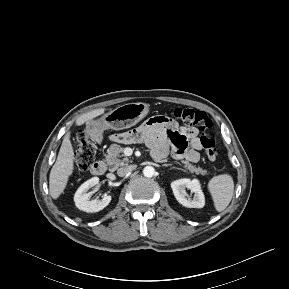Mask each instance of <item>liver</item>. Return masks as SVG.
Segmentation results:
<instances>
[{"mask_svg":"<svg viewBox=\"0 0 289 289\" xmlns=\"http://www.w3.org/2000/svg\"><path fill=\"white\" fill-rule=\"evenodd\" d=\"M104 109H96L77 118L75 124L81 126L84 123L102 115ZM74 170V149L70 141V131L66 133L60 147L57 160L53 165L49 176V192L53 199H58L64 192L69 177Z\"/></svg>","mask_w":289,"mask_h":289,"instance_id":"liver-1","label":"liver"}]
</instances>
